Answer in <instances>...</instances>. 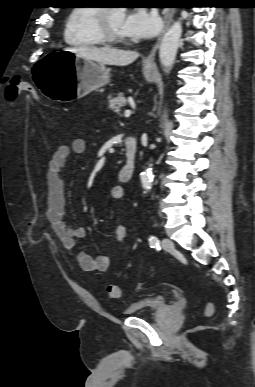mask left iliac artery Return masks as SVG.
Returning <instances> with one entry per match:
<instances>
[{
    "label": "left iliac artery",
    "instance_id": "left-iliac-artery-1",
    "mask_svg": "<svg viewBox=\"0 0 255 387\" xmlns=\"http://www.w3.org/2000/svg\"><path fill=\"white\" fill-rule=\"evenodd\" d=\"M149 244L151 248H159V240L156 236H150Z\"/></svg>",
    "mask_w": 255,
    "mask_h": 387
}]
</instances>
